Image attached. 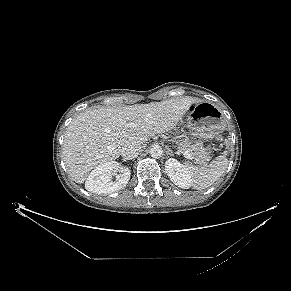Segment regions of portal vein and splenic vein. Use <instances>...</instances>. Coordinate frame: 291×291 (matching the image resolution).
<instances>
[{
    "mask_svg": "<svg viewBox=\"0 0 291 291\" xmlns=\"http://www.w3.org/2000/svg\"><path fill=\"white\" fill-rule=\"evenodd\" d=\"M126 126H127V127H132L133 124H132V123H128ZM182 153H183V155L185 156V158L190 159V160L193 159V156H192L188 151H184V152H182Z\"/></svg>",
    "mask_w": 291,
    "mask_h": 291,
    "instance_id": "1",
    "label": "portal vein and splenic vein"
}]
</instances>
